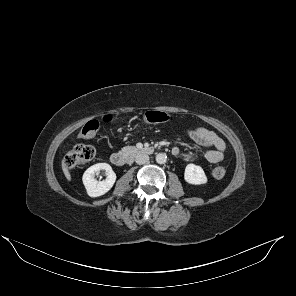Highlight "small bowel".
Segmentation results:
<instances>
[{
    "label": "small bowel",
    "mask_w": 296,
    "mask_h": 296,
    "mask_svg": "<svg viewBox=\"0 0 296 296\" xmlns=\"http://www.w3.org/2000/svg\"><path fill=\"white\" fill-rule=\"evenodd\" d=\"M188 135L197 144L208 148L203 155L204 160L209 163H218L224 159L226 145L216 133L204 127H195L188 131ZM172 153L175 156L182 155V152L178 147H174ZM184 157L187 159L195 158L191 154H186Z\"/></svg>",
    "instance_id": "c3829d8e"
}]
</instances>
